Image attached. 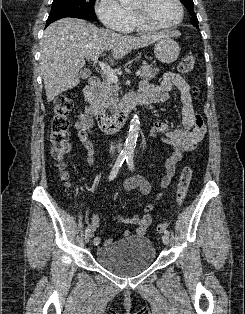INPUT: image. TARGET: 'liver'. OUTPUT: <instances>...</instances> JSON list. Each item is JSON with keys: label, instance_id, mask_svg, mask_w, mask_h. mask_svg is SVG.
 I'll use <instances>...</instances> for the list:
<instances>
[{"label": "liver", "instance_id": "1", "mask_svg": "<svg viewBox=\"0 0 245 314\" xmlns=\"http://www.w3.org/2000/svg\"><path fill=\"white\" fill-rule=\"evenodd\" d=\"M179 32H161L129 36L99 29L81 19L64 18L49 25L40 42V71L47 102L79 84L85 58L111 50L118 60L132 49L146 47L159 39L179 36Z\"/></svg>", "mask_w": 245, "mask_h": 314}]
</instances>
